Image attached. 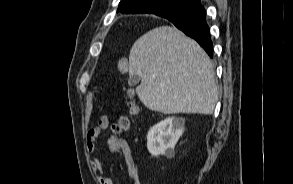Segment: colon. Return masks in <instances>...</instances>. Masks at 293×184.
<instances>
[{
    "instance_id": "5ec220e1",
    "label": "colon",
    "mask_w": 293,
    "mask_h": 184,
    "mask_svg": "<svg viewBox=\"0 0 293 184\" xmlns=\"http://www.w3.org/2000/svg\"><path fill=\"white\" fill-rule=\"evenodd\" d=\"M118 69L121 73H126L128 71V60L125 57H120L118 60ZM130 100L128 103L129 113L135 115L139 112V108L136 105L135 101L132 98V95L129 94ZM130 126V120L128 117H120L117 123L113 126L115 134H120L128 130ZM110 146L113 150H120L122 148L121 142L117 138H112L110 141Z\"/></svg>"
}]
</instances>
